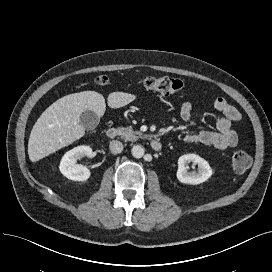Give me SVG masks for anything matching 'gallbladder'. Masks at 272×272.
Returning <instances> with one entry per match:
<instances>
[{
  "instance_id": "1",
  "label": "gallbladder",
  "mask_w": 272,
  "mask_h": 272,
  "mask_svg": "<svg viewBox=\"0 0 272 272\" xmlns=\"http://www.w3.org/2000/svg\"><path fill=\"white\" fill-rule=\"evenodd\" d=\"M99 117L91 110H85L80 117V123L86 130L95 129L99 124Z\"/></svg>"
}]
</instances>
